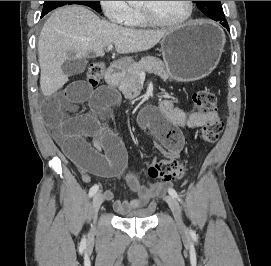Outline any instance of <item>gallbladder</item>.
Masks as SVG:
<instances>
[{"label": "gallbladder", "mask_w": 271, "mask_h": 266, "mask_svg": "<svg viewBox=\"0 0 271 266\" xmlns=\"http://www.w3.org/2000/svg\"><path fill=\"white\" fill-rule=\"evenodd\" d=\"M87 63L88 60L86 58H78L75 54H70L63 63L62 70L67 76L79 75L85 71Z\"/></svg>", "instance_id": "bac80fb5"}]
</instances>
